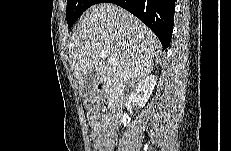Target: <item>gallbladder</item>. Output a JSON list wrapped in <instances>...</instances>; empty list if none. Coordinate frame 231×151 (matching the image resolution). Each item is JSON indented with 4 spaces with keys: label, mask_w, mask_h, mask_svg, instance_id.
<instances>
[{
    "label": "gallbladder",
    "mask_w": 231,
    "mask_h": 151,
    "mask_svg": "<svg viewBox=\"0 0 231 151\" xmlns=\"http://www.w3.org/2000/svg\"><path fill=\"white\" fill-rule=\"evenodd\" d=\"M99 79V74L95 70L93 71L86 79V83L84 85V88L82 90V97L85 100H91L93 98L94 90H95V85Z\"/></svg>",
    "instance_id": "bac80fb5"
}]
</instances>
